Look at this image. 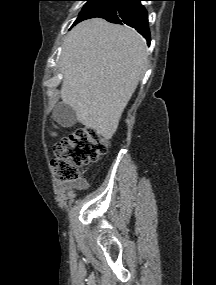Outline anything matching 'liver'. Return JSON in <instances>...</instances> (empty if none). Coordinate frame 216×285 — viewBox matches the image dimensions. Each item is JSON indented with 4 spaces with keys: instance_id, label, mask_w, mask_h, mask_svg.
<instances>
[{
    "instance_id": "obj_1",
    "label": "liver",
    "mask_w": 216,
    "mask_h": 285,
    "mask_svg": "<svg viewBox=\"0 0 216 285\" xmlns=\"http://www.w3.org/2000/svg\"><path fill=\"white\" fill-rule=\"evenodd\" d=\"M147 65L145 40L127 26L95 18L76 25L60 56L63 103L109 140Z\"/></svg>"
}]
</instances>
